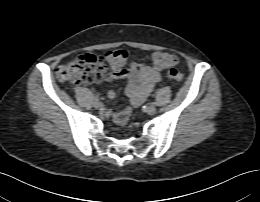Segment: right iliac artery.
I'll list each match as a JSON object with an SVG mask.
<instances>
[{"instance_id": "right-iliac-artery-1", "label": "right iliac artery", "mask_w": 260, "mask_h": 202, "mask_svg": "<svg viewBox=\"0 0 260 202\" xmlns=\"http://www.w3.org/2000/svg\"><path fill=\"white\" fill-rule=\"evenodd\" d=\"M94 99H95V100H99V97H98V96H95Z\"/></svg>"}]
</instances>
